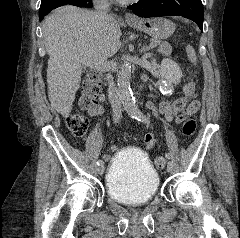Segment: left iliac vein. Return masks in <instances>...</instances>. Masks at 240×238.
Wrapping results in <instances>:
<instances>
[{
	"label": "left iliac vein",
	"mask_w": 240,
	"mask_h": 238,
	"mask_svg": "<svg viewBox=\"0 0 240 238\" xmlns=\"http://www.w3.org/2000/svg\"><path fill=\"white\" fill-rule=\"evenodd\" d=\"M172 169H173V164H172V162L169 161L168 164H167V171L171 172Z\"/></svg>",
	"instance_id": "1"
}]
</instances>
